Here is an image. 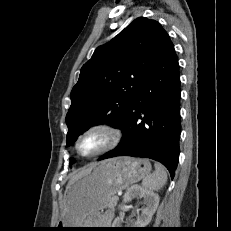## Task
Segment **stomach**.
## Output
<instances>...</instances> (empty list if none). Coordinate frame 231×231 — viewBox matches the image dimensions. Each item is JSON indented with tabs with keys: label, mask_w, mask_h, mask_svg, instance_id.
I'll use <instances>...</instances> for the list:
<instances>
[{
	"label": "stomach",
	"mask_w": 231,
	"mask_h": 231,
	"mask_svg": "<svg viewBox=\"0 0 231 231\" xmlns=\"http://www.w3.org/2000/svg\"><path fill=\"white\" fill-rule=\"evenodd\" d=\"M147 159L117 157L98 163L90 173L74 180L65 193L64 214L57 226L63 228H87L92 213L108 207L110 199L150 174Z\"/></svg>",
	"instance_id": "obj_1"
}]
</instances>
